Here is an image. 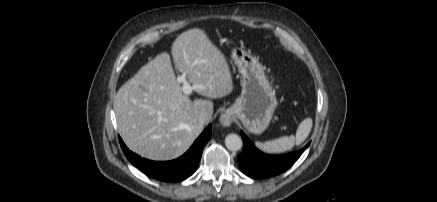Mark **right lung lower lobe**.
Wrapping results in <instances>:
<instances>
[{
  "instance_id": "98d812e1",
  "label": "right lung lower lobe",
  "mask_w": 437,
  "mask_h": 202,
  "mask_svg": "<svg viewBox=\"0 0 437 202\" xmlns=\"http://www.w3.org/2000/svg\"><path fill=\"white\" fill-rule=\"evenodd\" d=\"M210 137L211 125L202 132L183 156L167 162H155L141 158L131 152L121 138L119 140L125 156L144 174L163 182H179L188 178L196 171L203 148Z\"/></svg>"
}]
</instances>
